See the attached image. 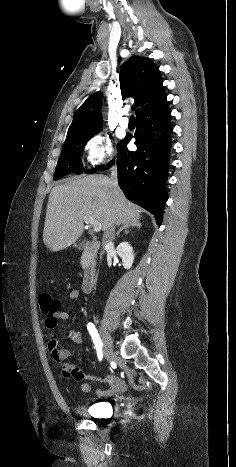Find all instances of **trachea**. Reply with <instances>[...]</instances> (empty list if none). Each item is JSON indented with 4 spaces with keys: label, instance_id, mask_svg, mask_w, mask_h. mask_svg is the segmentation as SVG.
<instances>
[{
    "label": "trachea",
    "instance_id": "1",
    "mask_svg": "<svg viewBox=\"0 0 236 467\" xmlns=\"http://www.w3.org/2000/svg\"><path fill=\"white\" fill-rule=\"evenodd\" d=\"M135 109H136V106L133 105V106L131 107V110L134 111ZM130 119H134V116L132 115V116L130 117Z\"/></svg>",
    "mask_w": 236,
    "mask_h": 467
}]
</instances>
